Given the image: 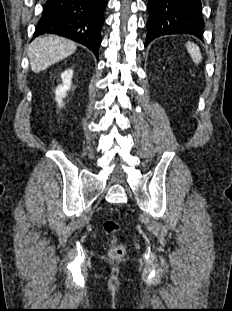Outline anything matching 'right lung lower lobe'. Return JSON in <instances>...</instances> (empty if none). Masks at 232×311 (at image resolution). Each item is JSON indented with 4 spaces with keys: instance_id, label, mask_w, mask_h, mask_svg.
<instances>
[{
    "instance_id": "1",
    "label": "right lung lower lobe",
    "mask_w": 232,
    "mask_h": 311,
    "mask_svg": "<svg viewBox=\"0 0 232 311\" xmlns=\"http://www.w3.org/2000/svg\"><path fill=\"white\" fill-rule=\"evenodd\" d=\"M107 0H47L34 37L58 34L88 47L98 56Z\"/></svg>"
}]
</instances>
